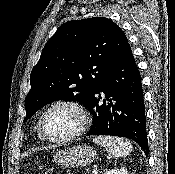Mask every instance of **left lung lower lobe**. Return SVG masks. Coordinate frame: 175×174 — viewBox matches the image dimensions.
Here are the masks:
<instances>
[{
	"instance_id": "1",
	"label": "left lung lower lobe",
	"mask_w": 175,
	"mask_h": 174,
	"mask_svg": "<svg viewBox=\"0 0 175 174\" xmlns=\"http://www.w3.org/2000/svg\"><path fill=\"white\" fill-rule=\"evenodd\" d=\"M101 92L104 96H101ZM103 99V104L99 101ZM93 115L90 135H113L135 141L148 155L146 112L141 76L128 45L95 87L87 105Z\"/></svg>"
}]
</instances>
